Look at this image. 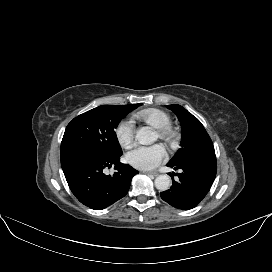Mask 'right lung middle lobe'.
Segmentation results:
<instances>
[{
    "label": "right lung middle lobe",
    "instance_id": "1",
    "mask_svg": "<svg viewBox=\"0 0 272 272\" xmlns=\"http://www.w3.org/2000/svg\"><path fill=\"white\" fill-rule=\"evenodd\" d=\"M140 105H102L77 116L66 127L61 146L86 145L105 155H121L115 128L129 111Z\"/></svg>",
    "mask_w": 272,
    "mask_h": 272
}]
</instances>
